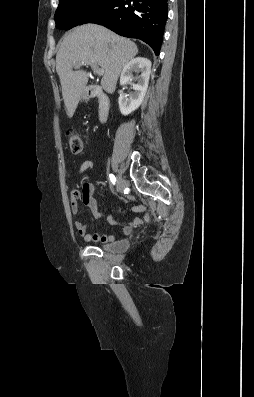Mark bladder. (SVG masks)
I'll return each instance as SVG.
<instances>
[{
	"instance_id": "obj_1",
	"label": "bladder",
	"mask_w": 254,
	"mask_h": 397,
	"mask_svg": "<svg viewBox=\"0 0 254 397\" xmlns=\"http://www.w3.org/2000/svg\"><path fill=\"white\" fill-rule=\"evenodd\" d=\"M126 246L127 243L125 241H115L107 245H103L102 249L110 252H118L123 250Z\"/></svg>"
}]
</instances>
